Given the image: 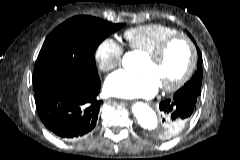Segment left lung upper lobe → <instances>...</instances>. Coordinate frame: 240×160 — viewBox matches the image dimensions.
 I'll use <instances>...</instances> for the list:
<instances>
[{
    "label": "left lung upper lobe",
    "instance_id": "5c2ea615",
    "mask_svg": "<svg viewBox=\"0 0 240 160\" xmlns=\"http://www.w3.org/2000/svg\"><path fill=\"white\" fill-rule=\"evenodd\" d=\"M190 38L193 40L192 36L189 34ZM198 51V62H197V71L195 72L194 76L191 78L190 81H188L184 87L179 89L177 92L178 93H189V94H194L195 96L199 97L200 96V89H201V83H202V54L197 48ZM164 122V125L155 133V137L158 139H169L172 138L173 136H168L166 135V122ZM188 122V121H187ZM184 124L183 121H176L175 125L177 127H182Z\"/></svg>",
    "mask_w": 240,
    "mask_h": 160
}]
</instances>
